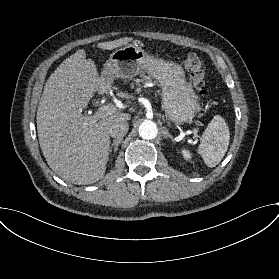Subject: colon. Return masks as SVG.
I'll return each instance as SVG.
<instances>
[{"label":"colon","mask_w":279,"mask_h":279,"mask_svg":"<svg viewBox=\"0 0 279 279\" xmlns=\"http://www.w3.org/2000/svg\"><path fill=\"white\" fill-rule=\"evenodd\" d=\"M183 66L188 70L193 88L201 95L207 93L205 69L200 58L194 53H188L183 59Z\"/></svg>","instance_id":"obj_1"}]
</instances>
